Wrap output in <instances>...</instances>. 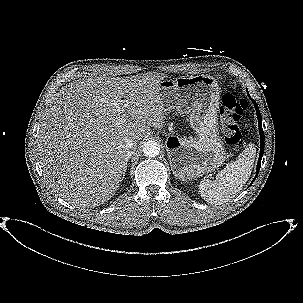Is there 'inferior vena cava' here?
Here are the masks:
<instances>
[{
  "mask_svg": "<svg viewBox=\"0 0 303 303\" xmlns=\"http://www.w3.org/2000/svg\"><path fill=\"white\" fill-rule=\"evenodd\" d=\"M121 147L125 157L129 158L136 151V142L131 138L126 137L122 140Z\"/></svg>",
  "mask_w": 303,
  "mask_h": 303,
  "instance_id": "inferior-vena-cava-1",
  "label": "inferior vena cava"
}]
</instances>
